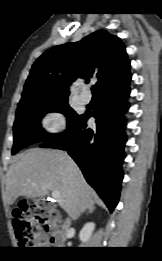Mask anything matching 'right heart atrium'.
I'll list each match as a JSON object with an SVG mask.
<instances>
[{
    "label": "right heart atrium",
    "mask_w": 162,
    "mask_h": 261,
    "mask_svg": "<svg viewBox=\"0 0 162 261\" xmlns=\"http://www.w3.org/2000/svg\"><path fill=\"white\" fill-rule=\"evenodd\" d=\"M66 118L62 112L54 111L49 114L44 119V126L50 132H58L65 128Z\"/></svg>",
    "instance_id": "obj_1"
}]
</instances>
